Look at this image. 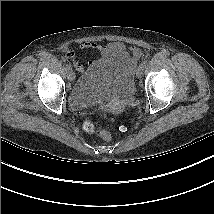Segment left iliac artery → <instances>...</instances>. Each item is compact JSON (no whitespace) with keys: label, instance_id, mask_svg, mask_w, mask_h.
<instances>
[{"label":"left iliac artery","instance_id":"44dca946","mask_svg":"<svg viewBox=\"0 0 214 214\" xmlns=\"http://www.w3.org/2000/svg\"><path fill=\"white\" fill-rule=\"evenodd\" d=\"M146 63H147L146 61H142L139 66L145 67Z\"/></svg>","mask_w":214,"mask_h":214}]
</instances>
